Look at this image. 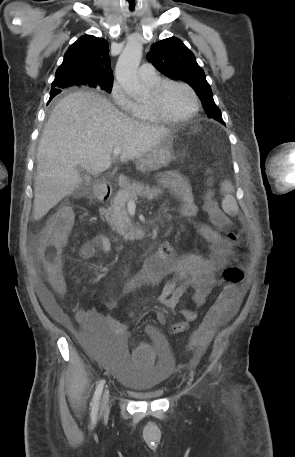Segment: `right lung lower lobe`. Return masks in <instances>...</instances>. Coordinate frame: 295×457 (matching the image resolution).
I'll return each mask as SVG.
<instances>
[{"mask_svg":"<svg viewBox=\"0 0 295 457\" xmlns=\"http://www.w3.org/2000/svg\"><path fill=\"white\" fill-rule=\"evenodd\" d=\"M59 93H60V90H51V92H50V100L49 101H51L53 99V97H55Z\"/></svg>","mask_w":295,"mask_h":457,"instance_id":"98d812e1","label":"right lung lower lobe"}]
</instances>
